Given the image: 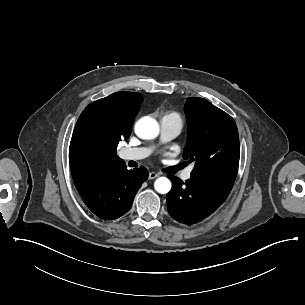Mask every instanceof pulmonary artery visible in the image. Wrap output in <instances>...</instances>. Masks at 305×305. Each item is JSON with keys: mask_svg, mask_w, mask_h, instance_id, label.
<instances>
[{"mask_svg": "<svg viewBox=\"0 0 305 305\" xmlns=\"http://www.w3.org/2000/svg\"><path fill=\"white\" fill-rule=\"evenodd\" d=\"M161 138L164 141L171 140L177 137L183 128V122L180 118L172 116H164L160 120ZM152 152L150 147L127 148L122 152V159L125 161H137L148 157ZM193 167L185 171L181 178L186 181L191 178Z\"/></svg>", "mask_w": 305, "mask_h": 305, "instance_id": "e3ab8cb5", "label": "pulmonary artery"}]
</instances>
